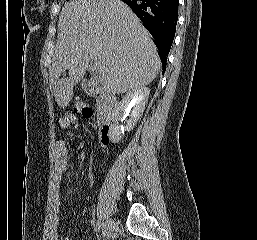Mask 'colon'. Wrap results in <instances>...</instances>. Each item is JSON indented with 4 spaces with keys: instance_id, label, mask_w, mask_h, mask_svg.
Wrapping results in <instances>:
<instances>
[{
    "instance_id": "1",
    "label": "colon",
    "mask_w": 257,
    "mask_h": 240,
    "mask_svg": "<svg viewBox=\"0 0 257 240\" xmlns=\"http://www.w3.org/2000/svg\"><path fill=\"white\" fill-rule=\"evenodd\" d=\"M75 114H80L84 118H89L92 116L93 110L86 103L82 101H76L74 104V112L67 114L65 123L72 121L75 118Z\"/></svg>"
}]
</instances>
